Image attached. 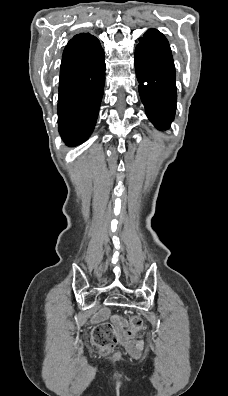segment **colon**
Masks as SVG:
<instances>
[{"label": "colon", "instance_id": "colon-1", "mask_svg": "<svg viewBox=\"0 0 228 396\" xmlns=\"http://www.w3.org/2000/svg\"><path fill=\"white\" fill-rule=\"evenodd\" d=\"M142 327L143 321L140 317L135 315L130 316L125 323L127 339H133ZM92 341L103 352L111 350L118 341L117 331L114 325L108 322L98 325L93 330Z\"/></svg>", "mask_w": 228, "mask_h": 396}]
</instances>
